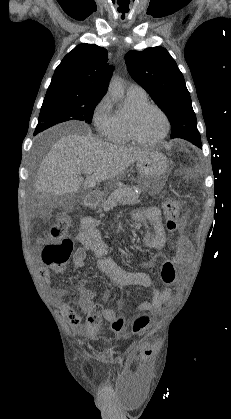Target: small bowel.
Masks as SVG:
<instances>
[{"label":"small bowel","mask_w":231,"mask_h":419,"mask_svg":"<svg viewBox=\"0 0 231 419\" xmlns=\"http://www.w3.org/2000/svg\"><path fill=\"white\" fill-rule=\"evenodd\" d=\"M132 219L134 221L143 223L147 230L143 237V244L146 248L158 251L160 250L166 240L165 231L161 220V211L156 207H150L144 210H138L133 213ZM100 221L94 217L86 216L80 221V232L77 234L76 239L80 243V247L76 249L73 255V265L76 268L85 266L86 253L91 251L95 256V267L100 270L111 281V283L119 288L124 289L129 286H137L142 288L151 287L152 282L148 274L144 272H131L126 271L119 267L113 260L107 257L108 244L103 239L100 230ZM192 252V245L184 232V225L180 228V236L177 241V251L173 257L176 261L175 265H183L186 263ZM155 258H152L148 265L152 266ZM56 271H61L62 268H53ZM42 280L46 284H51V274L48 268L41 271ZM80 297L76 300L77 306L87 314V322L83 330L80 329L81 317L76 310L61 300L63 290L55 289V301L61 307L62 312L70 322L74 331L84 334L90 338H94L100 329V322L102 316L108 321L116 314L113 309H104L101 317L96 319L91 314L94 303L95 292L87 287L86 282L79 283ZM105 298L109 294L104 295ZM172 288L165 290L154 289L152 297L149 301L139 304L137 312L140 315H158L163 311V306L171 302Z\"/></svg>","instance_id":"obj_1"}]
</instances>
